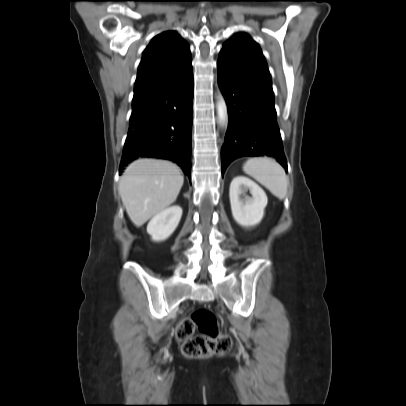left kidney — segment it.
Returning a JSON list of instances; mask_svg holds the SVG:
<instances>
[{"mask_svg":"<svg viewBox=\"0 0 406 406\" xmlns=\"http://www.w3.org/2000/svg\"><path fill=\"white\" fill-rule=\"evenodd\" d=\"M248 191L252 197L247 195ZM229 198L233 218L239 225L252 227L261 222L268 200L254 181L244 176L235 177L230 184Z\"/></svg>","mask_w":406,"mask_h":406,"instance_id":"1","label":"left kidney"}]
</instances>
